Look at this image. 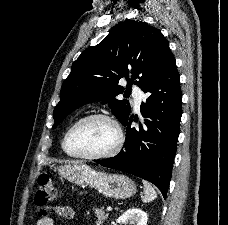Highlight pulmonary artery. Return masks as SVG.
<instances>
[{
  "instance_id": "obj_1",
  "label": "pulmonary artery",
  "mask_w": 228,
  "mask_h": 225,
  "mask_svg": "<svg viewBox=\"0 0 228 225\" xmlns=\"http://www.w3.org/2000/svg\"><path fill=\"white\" fill-rule=\"evenodd\" d=\"M132 96H133V105L136 110H139L141 102L145 98L144 93L140 88L134 87L132 89Z\"/></svg>"
}]
</instances>
